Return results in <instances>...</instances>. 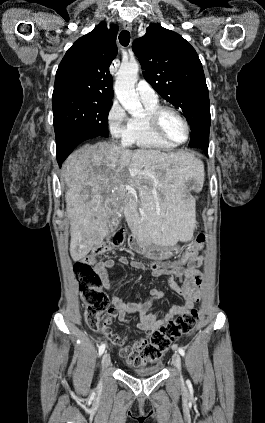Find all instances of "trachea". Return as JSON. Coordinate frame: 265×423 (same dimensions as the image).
<instances>
[{
    "mask_svg": "<svg viewBox=\"0 0 265 423\" xmlns=\"http://www.w3.org/2000/svg\"><path fill=\"white\" fill-rule=\"evenodd\" d=\"M119 41L121 45L128 46L130 42V33L127 30H123L119 35Z\"/></svg>",
    "mask_w": 265,
    "mask_h": 423,
    "instance_id": "obj_1",
    "label": "trachea"
}]
</instances>
